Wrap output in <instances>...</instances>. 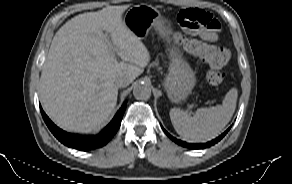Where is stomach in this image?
I'll list each match as a JSON object with an SVG mask.
<instances>
[{"label":"stomach","mask_w":292,"mask_h":184,"mask_svg":"<svg viewBox=\"0 0 292 184\" xmlns=\"http://www.w3.org/2000/svg\"><path fill=\"white\" fill-rule=\"evenodd\" d=\"M124 24L138 38L143 39L154 27L162 37H167V26L160 13L148 5L131 7L124 16ZM169 72L164 87L172 102L184 100L195 84V73L178 50L170 53Z\"/></svg>","instance_id":"1"}]
</instances>
